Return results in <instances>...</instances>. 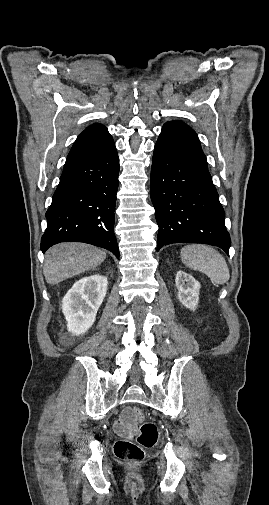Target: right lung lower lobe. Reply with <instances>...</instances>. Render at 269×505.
Listing matches in <instances>:
<instances>
[{
	"mask_svg": "<svg viewBox=\"0 0 269 505\" xmlns=\"http://www.w3.org/2000/svg\"><path fill=\"white\" fill-rule=\"evenodd\" d=\"M118 174L114 142L92 155L65 163L46 212L43 253L54 244L75 241L108 249L119 258L113 229Z\"/></svg>",
	"mask_w": 269,
	"mask_h": 505,
	"instance_id": "1",
	"label": "right lung lower lobe"
}]
</instances>
